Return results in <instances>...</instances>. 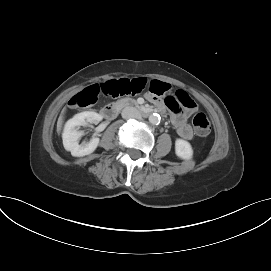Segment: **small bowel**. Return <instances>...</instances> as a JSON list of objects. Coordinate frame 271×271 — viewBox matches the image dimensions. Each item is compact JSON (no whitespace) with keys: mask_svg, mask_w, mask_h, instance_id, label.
Returning a JSON list of instances; mask_svg holds the SVG:
<instances>
[{"mask_svg":"<svg viewBox=\"0 0 271 271\" xmlns=\"http://www.w3.org/2000/svg\"><path fill=\"white\" fill-rule=\"evenodd\" d=\"M168 83L166 80H159L154 77L149 82L147 87L146 98L156 104H161L159 97L155 95H166ZM172 122L176 128L178 135L186 140H190L193 137V130L191 126L186 122L185 116L180 113H173Z\"/></svg>","mask_w":271,"mask_h":271,"instance_id":"c3829d8e","label":"small bowel"}]
</instances>
